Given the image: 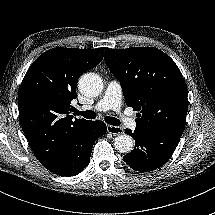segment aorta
Returning a JSON list of instances; mask_svg holds the SVG:
<instances>
[{"label":"aorta","mask_w":215,"mask_h":215,"mask_svg":"<svg viewBox=\"0 0 215 215\" xmlns=\"http://www.w3.org/2000/svg\"><path fill=\"white\" fill-rule=\"evenodd\" d=\"M79 88L85 96L95 97L102 91L100 77L94 73H85L79 79ZM113 147L120 153L126 154L133 150L134 140L127 134L114 138Z\"/></svg>","instance_id":"762f6f07"}]
</instances>
